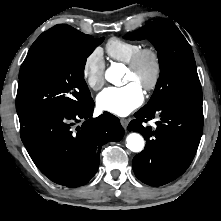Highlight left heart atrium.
Here are the masks:
<instances>
[{
  "label": "left heart atrium",
  "mask_w": 221,
  "mask_h": 221,
  "mask_svg": "<svg viewBox=\"0 0 221 221\" xmlns=\"http://www.w3.org/2000/svg\"><path fill=\"white\" fill-rule=\"evenodd\" d=\"M144 100L141 85L135 81L120 87L105 88L97 96L99 109L117 116H126L139 107Z\"/></svg>",
  "instance_id": "39dd6f15"
}]
</instances>
